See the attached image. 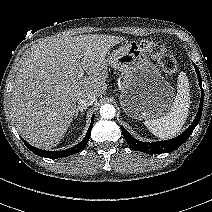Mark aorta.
Returning <instances> with one entry per match:
<instances>
[{
  "instance_id": "1",
  "label": "aorta",
  "mask_w": 212,
  "mask_h": 212,
  "mask_svg": "<svg viewBox=\"0 0 212 212\" xmlns=\"http://www.w3.org/2000/svg\"><path fill=\"white\" fill-rule=\"evenodd\" d=\"M116 110L111 104H104L100 108V115L104 119H111L115 116Z\"/></svg>"
}]
</instances>
